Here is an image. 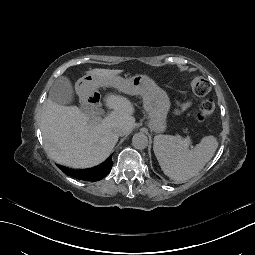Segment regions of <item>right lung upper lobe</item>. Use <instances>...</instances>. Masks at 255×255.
Returning a JSON list of instances; mask_svg holds the SVG:
<instances>
[{"label":"right lung upper lobe","mask_w":255,"mask_h":255,"mask_svg":"<svg viewBox=\"0 0 255 255\" xmlns=\"http://www.w3.org/2000/svg\"><path fill=\"white\" fill-rule=\"evenodd\" d=\"M58 167L69 176H72L76 179L83 180V181H99L104 178L112 168V158L109 157L105 162L90 169H81V170H74L69 169L63 166Z\"/></svg>","instance_id":"1"}]
</instances>
